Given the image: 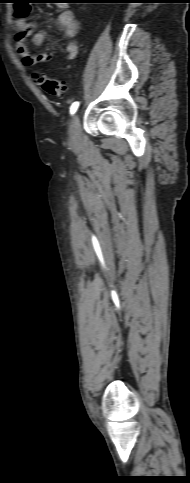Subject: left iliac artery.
Masks as SVG:
<instances>
[{"mask_svg":"<svg viewBox=\"0 0 190 483\" xmlns=\"http://www.w3.org/2000/svg\"><path fill=\"white\" fill-rule=\"evenodd\" d=\"M78 107H79L78 101L72 103V105L70 107V114L73 115L77 111Z\"/></svg>","mask_w":190,"mask_h":483,"instance_id":"1","label":"left iliac artery"}]
</instances>
